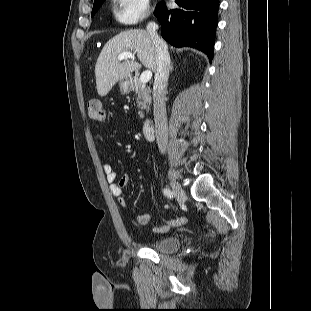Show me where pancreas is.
<instances>
[{
	"label": "pancreas",
	"instance_id": "cf45deb5",
	"mask_svg": "<svg viewBox=\"0 0 311 311\" xmlns=\"http://www.w3.org/2000/svg\"><path fill=\"white\" fill-rule=\"evenodd\" d=\"M135 92H136V103L137 107L141 109L139 112V117L144 118V114L142 112L143 109L149 110L151 105V90L147 88L144 84L140 81H137L135 84Z\"/></svg>",
	"mask_w": 311,
	"mask_h": 311
}]
</instances>
